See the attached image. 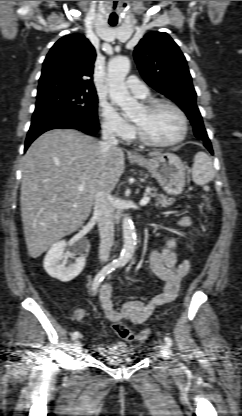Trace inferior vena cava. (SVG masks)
Returning <instances> with one entry per match:
<instances>
[{
    "label": "inferior vena cava",
    "mask_w": 242,
    "mask_h": 416,
    "mask_svg": "<svg viewBox=\"0 0 242 416\" xmlns=\"http://www.w3.org/2000/svg\"><path fill=\"white\" fill-rule=\"evenodd\" d=\"M118 140L115 138L112 127L104 124L102 128V141L100 142L101 156L105 160L108 152L116 148ZM111 194L100 189L95 195L94 215L98 219L100 234L99 259L106 262L114 241V205Z\"/></svg>",
    "instance_id": "obj_1"
}]
</instances>
